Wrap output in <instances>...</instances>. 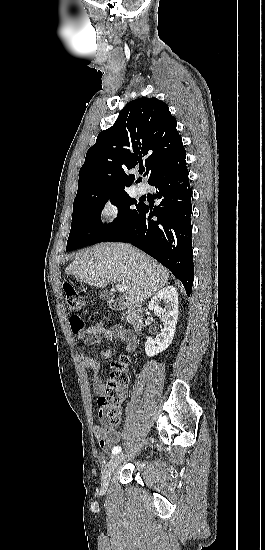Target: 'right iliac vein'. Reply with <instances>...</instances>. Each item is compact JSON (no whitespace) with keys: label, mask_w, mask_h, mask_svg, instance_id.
Segmentation results:
<instances>
[{"label":"right iliac vein","mask_w":265,"mask_h":550,"mask_svg":"<svg viewBox=\"0 0 265 550\" xmlns=\"http://www.w3.org/2000/svg\"><path fill=\"white\" fill-rule=\"evenodd\" d=\"M132 456V454H119L114 456L108 465L105 467L103 474H102V484L104 487H106L109 484L110 478L114 470L118 467L120 462L124 460L125 458Z\"/></svg>","instance_id":"right-iliac-vein-1"}]
</instances>
